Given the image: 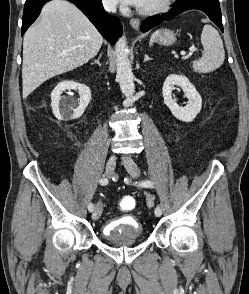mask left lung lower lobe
<instances>
[{"mask_svg":"<svg viewBox=\"0 0 249 294\" xmlns=\"http://www.w3.org/2000/svg\"><path fill=\"white\" fill-rule=\"evenodd\" d=\"M191 9H198L205 12L223 32L221 11L218 0H177L174 3V7L167 13L146 19L141 25V31L146 32L164 20Z\"/></svg>","mask_w":249,"mask_h":294,"instance_id":"0a47b994","label":"left lung lower lobe"}]
</instances>
